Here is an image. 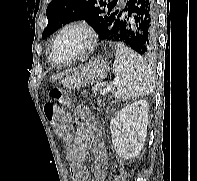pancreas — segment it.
I'll list each match as a JSON object with an SVG mask.
<instances>
[{
    "label": "pancreas",
    "instance_id": "1",
    "mask_svg": "<svg viewBox=\"0 0 197 181\" xmlns=\"http://www.w3.org/2000/svg\"><path fill=\"white\" fill-rule=\"evenodd\" d=\"M98 104H99V105L101 104V100H98Z\"/></svg>",
    "mask_w": 197,
    "mask_h": 181
}]
</instances>
